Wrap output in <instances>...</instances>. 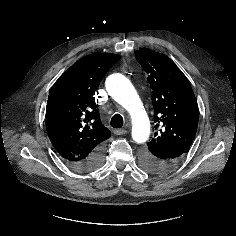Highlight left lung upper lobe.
Returning a JSON list of instances; mask_svg holds the SVG:
<instances>
[{"mask_svg": "<svg viewBox=\"0 0 236 236\" xmlns=\"http://www.w3.org/2000/svg\"><path fill=\"white\" fill-rule=\"evenodd\" d=\"M135 56L149 74L157 130L147 143L141 165L154 172L162 152L189 150L198 126V105L188 79L170 58L148 48L136 51Z\"/></svg>", "mask_w": 236, "mask_h": 236, "instance_id": "left-lung-upper-lobe-1", "label": "left lung upper lobe"}]
</instances>
